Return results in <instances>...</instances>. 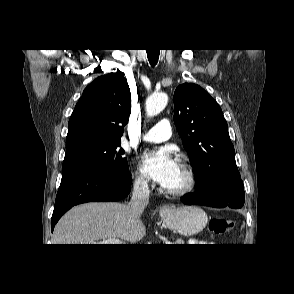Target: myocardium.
I'll return each mask as SVG.
<instances>
[{
	"label": "myocardium",
	"instance_id": "obj_1",
	"mask_svg": "<svg viewBox=\"0 0 294 294\" xmlns=\"http://www.w3.org/2000/svg\"><path fill=\"white\" fill-rule=\"evenodd\" d=\"M178 165L182 169L185 176L184 185L178 189L163 188V192L165 194L173 197H181L189 194L194 189L196 184L195 172L192 165L182 159L178 160Z\"/></svg>",
	"mask_w": 294,
	"mask_h": 294
}]
</instances>
